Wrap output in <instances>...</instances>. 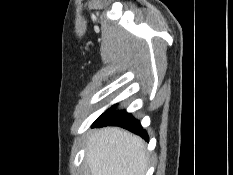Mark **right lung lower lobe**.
I'll use <instances>...</instances> for the list:
<instances>
[{
    "label": "right lung lower lobe",
    "instance_id": "obj_1",
    "mask_svg": "<svg viewBox=\"0 0 233 175\" xmlns=\"http://www.w3.org/2000/svg\"><path fill=\"white\" fill-rule=\"evenodd\" d=\"M94 126H120L148 141V135L139 121L126 111H115V105L105 111L93 124Z\"/></svg>",
    "mask_w": 233,
    "mask_h": 175
}]
</instances>
